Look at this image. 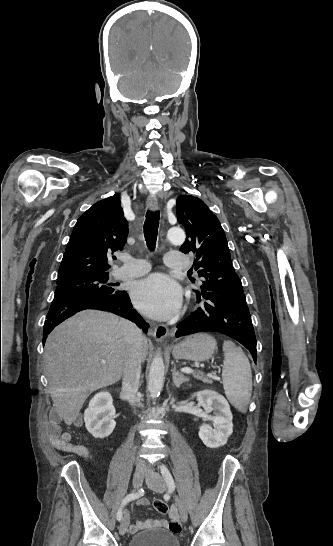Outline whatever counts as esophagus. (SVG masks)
I'll use <instances>...</instances> for the list:
<instances>
[{
	"instance_id": "1",
	"label": "esophagus",
	"mask_w": 333,
	"mask_h": 546,
	"mask_svg": "<svg viewBox=\"0 0 333 546\" xmlns=\"http://www.w3.org/2000/svg\"><path fill=\"white\" fill-rule=\"evenodd\" d=\"M147 207L152 210H158V200L156 196H149L147 199ZM169 333V329L166 325H158L154 329V337L158 342H164L166 336Z\"/></svg>"
}]
</instances>
